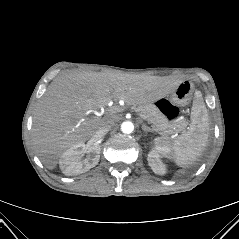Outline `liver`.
<instances>
[{"mask_svg": "<svg viewBox=\"0 0 239 239\" xmlns=\"http://www.w3.org/2000/svg\"><path fill=\"white\" fill-rule=\"evenodd\" d=\"M180 80L168 77L69 71L48 86L34 113L33 145L41 162L50 170L62 154L90 139L101 124L116 116H89L90 110L106 107L111 101L143 105L164 97Z\"/></svg>", "mask_w": 239, "mask_h": 239, "instance_id": "6515ba94", "label": "liver"}]
</instances>
